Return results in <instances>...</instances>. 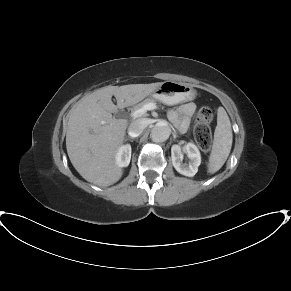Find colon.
<instances>
[{
  "mask_svg": "<svg viewBox=\"0 0 291 291\" xmlns=\"http://www.w3.org/2000/svg\"><path fill=\"white\" fill-rule=\"evenodd\" d=\"M213 117V111L209 107H202L195 117L193 136L196 143L203 150H209L211 146L212 136L209 124L212 122Z\"/></svg>",
  "mask_w": 291,
  "mask_h": 291,
  "instance_id": "colon-1",
  "label": "colon"
}]
</instances>
